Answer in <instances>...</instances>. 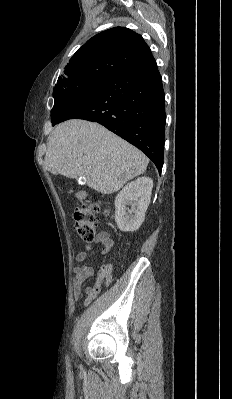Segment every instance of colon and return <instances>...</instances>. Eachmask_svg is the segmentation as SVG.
Returning a JSON list of instances; mask_svg holds the SVG:
<instances>
[{
    "instance_id": "1",
    "label": "colon",
    "mask_w": 232,
    "mask_h": 399,
    "mask_svg": "<svg viewBox=\"0 0 232 399\" xmlns=\"http://www.w3.org/2000/svg\"><path fill=\"white\" fill-rule=\"evenodd\" d=\"M92 208H95V214L89 208L74 211V231H77V236L80 232V239H93V219L102 214V205L92 203ZM106 285H113V271H105V274L98 276L96 283H93V298H98V291L106 290Z\"/></svg>"
}]
</instances>
